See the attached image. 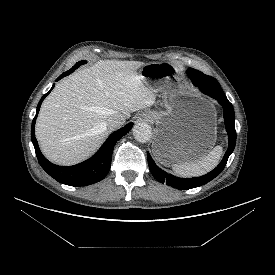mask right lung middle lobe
I'll return each instance as SVG.
<instances>
[{
  "label": "right lung middle lobe",
  "mask_w": 275,
  "mask_h": 275,
  "mask_svg": "<svg viewBox=\"0 0 275 275\" xmlns=\"http://www.w3.org/2000/svg\"><path fill=\"white\" fill-rule=\"evenodd\" d=\"M85 63H86V61H79L72 68L77 69L79 66H81L82 64H85Z\"/></svg>",
  "instance_id": "1"
}]
</instances>
